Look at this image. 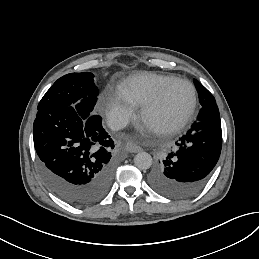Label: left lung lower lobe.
Here are the masks:
<instances>
[{
    "label": "left lung lower lobe",
    "instance_id": "left-lung-lower-lobe-1",
    "mask_svg": "<svg viewBox=\"0 0 259 259\" xmlns=\"http://www.w3.org/2000/svg\"><path fill=\"white\" fill-rule=\"evenodd\" d=\"M175 144L177 151L150 173L149 184L161 195L185 199L205 186L219 159L222 131L217 104L202 107L190 130Z\"/></svg>",
    "mask_w": 259,
    "mask_h": 259
}]
</instances>
